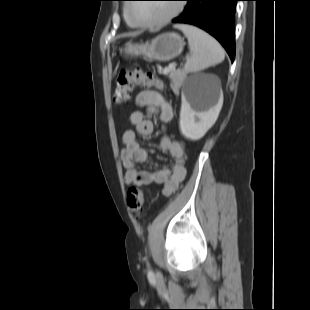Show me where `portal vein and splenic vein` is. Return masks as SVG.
Here are the masks:
<instances>
[{"label":"portal vein and splenic vein","instance_id":"18ae733b","mask_svg":"<svg viewBox=\"0 0 310 310\" xmlns=\"http://www.w3.org/2000/svg\"><path fill=\"white\" fill-rule=\"evenodd\" d=\"M175 67H176L175 64H170V65L167 67L166 71H167V72L173 71V70H175Z\"/></svg>","mask_w":310,"mask_h":310}]
</instances>
